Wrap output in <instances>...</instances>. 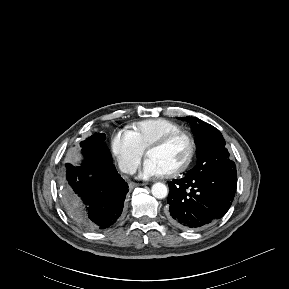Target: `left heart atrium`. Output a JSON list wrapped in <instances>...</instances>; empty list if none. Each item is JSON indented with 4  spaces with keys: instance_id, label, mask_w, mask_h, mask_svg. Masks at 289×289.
Returning <instances> with one entry per match:
<instances>
[{
    "instance_id": "39dd6f15",
    "label": "left heart atrium",
    "mask_w": 289,
    "mask_h": 289,
    "mask_svg": "<svg viewBox=\"0 0 289 289\" xmlns=\"http://www.w3.org/2000/svg\"><path fill=\"white\" fill-rule=\"evenodd\" d=\"M165 175L164 170L151 158H146L139 168V176L142 178L160 177Z\"/></svg>"
}]
</instances>
